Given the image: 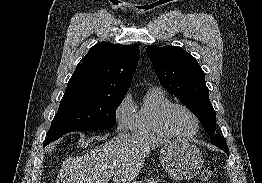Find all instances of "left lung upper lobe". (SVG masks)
<instances>
[{
  "instance_id": "1",
  "label": "left lung upper lobe",
  "mask_w": 262,
  "mask_h": 183,
  "mask_svg": "<svg viewBox=\"0 0 262 183\" xmlns=\"http://www.w3.org/2000/svg\"><path fill=\"white\" fill-rule=\"evenodd\" d=\"M147 53L162 86L196 115L213 145L227 147L222 136L215 132L216 114L197 60L181 47L174 46H149Z\"/></svg>"
}]
</instances>
